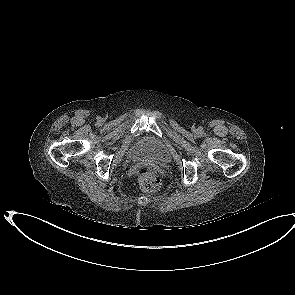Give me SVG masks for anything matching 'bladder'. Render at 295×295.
<instances>
[{
	"instance_id": "obj_1",
	"label": "bladder",
	"mask_w": 295,
	"mask_h": 295,
	"mask_svg": "<svg viewBox=\"0 0 295 295\" xmlns=\"http://www.w3.org/2000/svg\"><path fill=\"white\" fill-rule=\"evenodd\" d=\"M133 160L145 159L155 163H167L169 153L166 145L154 137H142L135 141L128 152Z\"/></svg>"
}]
</instances>
